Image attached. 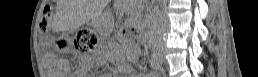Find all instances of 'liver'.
<instances>
[{
  "label": "liver",
  "mask_w": 258,
  "mask_h": 77,
  "mask_svg": "<svg viewBox=\"0 0 258 77\" xmlns=\"http://www.w3.org/2000/svg\"><path fill=\"white\" fill-rule=\"evenodd\" d=\"M58 19L66 28L79 26L91 18L100 15L104 8L103 1H85V0H59ZM66 13L69 17L63 18L62 14Z\"/></svg>",
  "instance_id": "1"
}]
</instances>
